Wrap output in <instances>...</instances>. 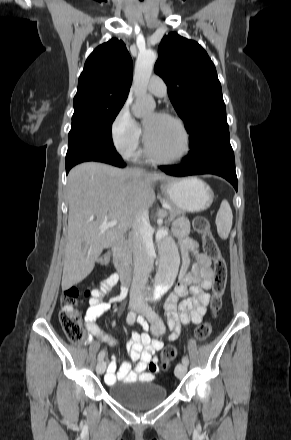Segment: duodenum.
<instances>
[{"label": "duodenum", "mask_w": 291, "mask_h": 440, "mask_svg": "<svg viewBox=\"0 0 291 440\" xmlns=\"http://www.w3.org/2000/svg\"><path fill=\"white\" fill-rule=\"evenodd\" d=\"M123 243V237H117L111 245V251L113 261L120 272L121 280L123 284L127 285L130 280V265L122 248Z\"/></svg>", "instance_id": "obj_1"}]
</instances>
